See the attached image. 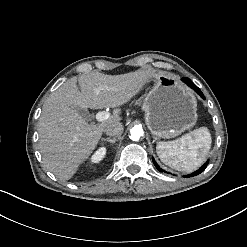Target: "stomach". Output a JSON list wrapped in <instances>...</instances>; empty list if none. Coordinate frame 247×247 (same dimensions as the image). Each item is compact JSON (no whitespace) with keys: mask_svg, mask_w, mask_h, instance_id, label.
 I'll use <instances>...</instances> for the list:
<instances>
[{"mask_svg":"<svg viewBox=\"0 0 247 247\" xmlns=\"http://www.w3.org/2000/svg\"><path fill=\"white\" fill-rule=\"evenodd\" d=\"M149 83L142 109L153 136L174 138L195 125L196 97L178 76L156 73Z\"/></svg>","mask_w":247,"mask_h":247,"instance_id":"obj_1","label":"stomach"}]
</instances>
